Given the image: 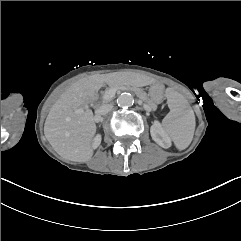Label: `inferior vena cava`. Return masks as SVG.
I'll return each mask as SVG.
<instances>
[{
  "label": "inferior vena cava",
  "mask_w": 241,
  "mask_h": 241,
  "mask_svg": "<svg viewBox=\"0 0 241 241\" xmlns=\"http://www.w3.org/2000/svg\"><path fill=\"white\" fill-rule=\"evenodd\" d=\"M113 108L112 104H103L96 110V116H95V121L99 122L101 120L102 115H106L109 113Z\"/></svg>",
  "instance_id": "inferior-vena-cava-1"
}]
</instances>
